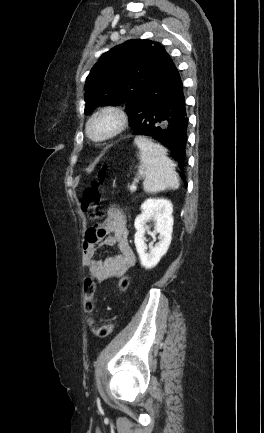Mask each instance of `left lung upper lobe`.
I'll list each match as a JSON object with an SVG mask.
<instances>
[{
	"label": "left lung upper lobe",
	"mask_w": 264,
	"mask_h": 433,
	"mask_svg": "<svg viewBox=\"0 0 264 433\" xmlns=\"http://www.w3.org/2000/svg\"><path fill=\"white\" fill-rule=\"evenodd\" d=\"M170 60L158 42L130 40L104 53L85 85V113L98 106L123 105L127 114L139 94Z\"/></svg>",
	"instance_id": "1"
}]
</instances>
